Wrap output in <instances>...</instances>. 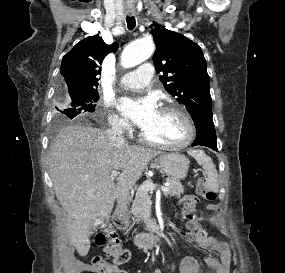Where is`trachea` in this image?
Masks as SVG:
<instances>
[{"label": "trachea", "instance_id": "3493384b", "mask_svg": "<svg viewBox=\"0 0 285 273\" xmlns=\"http://www.w3.org/2000/svg\"><path fill=\"white\" fill-rule=\"evenodd\" d=\"M126 21H127V27L129 30H133L136 26V21L134 16H127L126 17Z\"/></svg>", "mask_w": 285, "mask_h": 273}]
</instances>
